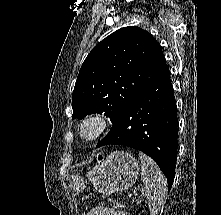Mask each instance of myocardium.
Instances as JSON below:
<instances>
[{"label": "myocardium", "mask_w": 221, "mask_h": 215, "mask_svg": "<svg viewBox=\"0 0 221 215\" xmlns=\"http://www.w3.org/2000/svg\"><path fill=\"white\" fill-rule=\"evenodd\" d=\"M109 125V118L104 113L87 114L77 125V136L83 143H93L107 131Z\"/></svg>", "instance_id": "myocardium-1"}]
</instances>
